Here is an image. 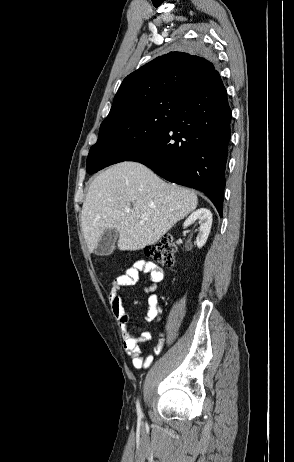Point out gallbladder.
Returning a JSON list of instances; mask_svg holds the SVG:
<instances>
[{
	"mask_svg": "<svg viewBox=\"0 0 294 462\" xmlns=\"http://www.w3.org/2000/svg\"><path fill=\"white\" fill-rule=\"evenodd\" d=\"M119 237V232L116 229H106L94 249L97 256H108L112 253L116 241Z\"/></svg>",
	"mask_w": 294,
	"mask_h": 462,
	"instance_id": "1",
	"label": "gallbladder"
}]
</instances>
